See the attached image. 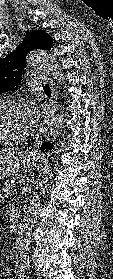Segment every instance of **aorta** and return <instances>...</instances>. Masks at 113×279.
Instances as JSON below:
<instances>
[{
	"label": "aorta",
	"instance_id": "1",
	"mask_svg": "<svg viewBox=\"0 0 113 279\" xmlns=\"http://www.w3.org/2000/svg\"><path fill=\"white\" fill-rule=\"evenodd\" d=\"M28 64L39 70H43L51 74L59 83H64L62 68L56 62L51 54L47 51L35 49L27 56ZM64 125V115L57 114L45 121L41 129V136L46 142L55 141L61 134ZM40 208V200L37 194H34L28 207L24 211V216L19 224L16 237V267L25 269L30 265L29 251L31 234L34 224L38 217Z\"/></svg>",
	"mask_w": 113,
	"mask_h": 279
}]
</instances>
